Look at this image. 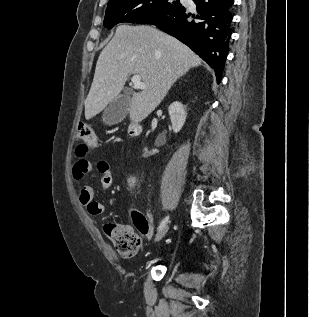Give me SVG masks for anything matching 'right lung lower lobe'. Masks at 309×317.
<instances>
[{
    "mask_svg": "<svg viewBox=\"0 0 309 317\" xmlns=\"http://www.w3.org/2000/svg\"><path fill=\"white\" fill-rule=\"evenodd\" d=\"M194 10L179 6L144 18L137 24H152L190 47L216 72L220 83L229 51L234 0H193Z\"/></svg>",
    "mask_w": 309,
    "mask_h": 317,
    "instance_id": "1",
    "label": "right lung lower lobe"
}]
</instances>
